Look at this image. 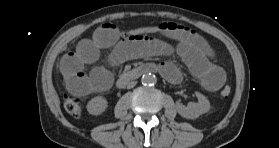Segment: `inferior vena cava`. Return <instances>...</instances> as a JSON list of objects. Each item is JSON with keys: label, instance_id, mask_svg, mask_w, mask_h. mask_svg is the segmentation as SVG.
<instances>
[{"label": "inferior vena cava", "instance_id": "1", "mask_svg": "<svg viewBox=\"0 0 279 148\" xmlns=\"http://www.w3.org/2000/svg\"><path fill=\"white\" fill-rule=\"evenodd\" d=\"M136 83H137L136 81L129 82L128 85H127V88L128 89L133 88L136 85Z\"/></svg>", "mask_w": 279, "mask_h": 148}]
</instances>
